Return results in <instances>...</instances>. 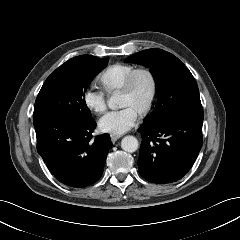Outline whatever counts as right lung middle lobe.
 <instances>
[{
	"label": "right lung middle lobe",
	"mask_w": 240,
	"mask_h": 240,
	"mask_svg": "<svg viewBox=\"0 0 240 240\" xmlns=\"http://www.w3.org/2000/svg\"><path fill=\"white\" fill-rule=\"evenodd\" d=\"M108 63L96 57L93 61L60 66L49 75L35 101L33 118L62 117L74 121L93 119L84 93L94 75Z\"/></svg>",
	"instance_id": "obj_1"
}]
</instances>
